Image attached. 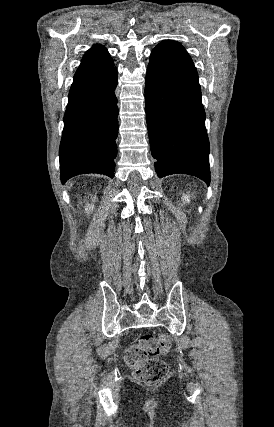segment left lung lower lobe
<instances>
[{"mask_svg":"<svg viewBox=\"0 0 274 427\" xmlns=\"http://www.w3.org/2000/svg\"><path fill=\"white\" fill-rule=\"evenodd\" d=\"M145 103L158 177L189 174L209 185V140L198 74L180 43L165 40L153 49Z\"/></svg>","mask_w":274,"mask_h":427,"instance_id":"left-lung-lower-lobe-1","label":"left lung lower lobe"}]
</instances>
